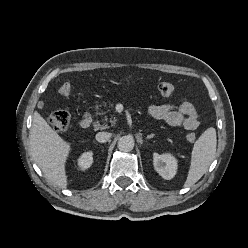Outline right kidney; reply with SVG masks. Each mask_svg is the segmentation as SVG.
Here are the masks:
<instances>
[{"label":"right kidney","instance_id":"ca27d5eb","mask_svg":"<svg viewBox=\"0 0 248 248\" xmlns=\"http://www.w3.org/2000/svg\"><path fill=\"white\" fill-rule=\"evenodd\" d=\"M93 163V152H84L78 159V167L80 170L88 169Z\"/></svg>","mask_w":248,"mask_h":248}]
</instances>
